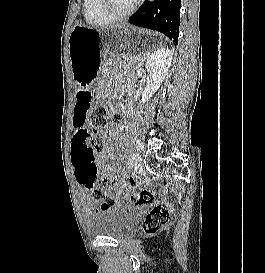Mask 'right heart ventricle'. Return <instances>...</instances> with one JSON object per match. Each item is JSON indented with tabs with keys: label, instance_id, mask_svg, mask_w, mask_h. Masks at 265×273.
I'll use <instances>...</instances> for the list:
<instances>
[{
	"label": "right heart ventricle",
	"instance_id": "1",
	"mask_svg": "<svg viewBox=\"0 0 265 273\" xmlns=\"http://www.w3.org/2000/svg\"><path fill=\"white\" fill-rule=\"evenodd\" d=\"M83 13L86 22L91 26H104L110 24L98 10V0H84Z\"/></svg>",
	"mask_w": 265,
	"mask_h": 273
}]
</instances>
